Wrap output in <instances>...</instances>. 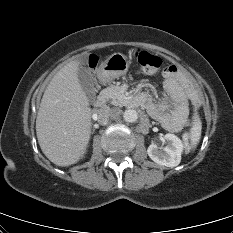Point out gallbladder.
I'll list each match as a JSON object with an SVG mask.
<instances>
[{
	"label": "gallbladder",
	"instance_id": "1",
	"mask_svg": "<svg viewBox=\"0 0 233 233\" xmlns=\"http://www.w3.org/2000/svg\"><path fill=\"white\" fill-rule=\"evenodd\" d=\"M78 60L80 62V66L77 73L79 83L81 85L82 90L86 93L88 99L91 102H94L96 100V90H95L96 80L93 77L91 70L85 66L87 63V56L82 55L78 58Z\"/></svg>",
	"mask_w": 233,
	"mask_h": 233
}]
</instances>
